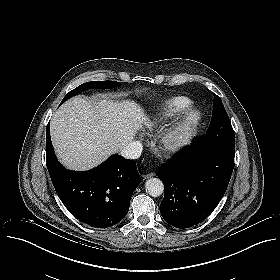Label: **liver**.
Segmentation results:
<instances>
[{
	"label": "liver",
	"mask_w": 280,
	"mask_h": 280,
	"mask_svg": "<svg viewBox=\"0 0 280 280\" xmlns=\"http://www.w3.org/2000/svg\"><path fill=\"white\" fill-rule=\"evenodd\" d=\"M143 110L133 101H92L74 97L53 114L51 140L60 162L70 170L100 165L130 143L143 124Z\"/></svg>",
	"instance_id": "6515ba94"
}]
</instances>
